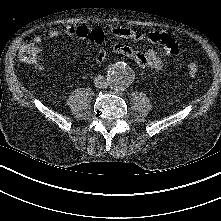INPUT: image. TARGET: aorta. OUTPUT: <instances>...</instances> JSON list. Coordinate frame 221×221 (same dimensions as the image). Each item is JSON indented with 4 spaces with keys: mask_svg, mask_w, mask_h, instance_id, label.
Wrapping results in <instances>:
<instances>
[{
    "mask_svg": "<svg viewBox=\"0 0 221 221\" xmlns=\"http://www.w3.org/2000/svg\"><path fill=\"white\" fill-rule=\"evenodd\" d=\"M107 80L111 88L124 90L132 83L133 73L126 63L117 62L108 68Z\"/></svg>",
    "mask_w": 221,
    "mask_h": 221,
    "instance_id": "762f6f07",
    "label": "aorta"
}]
</instances>
